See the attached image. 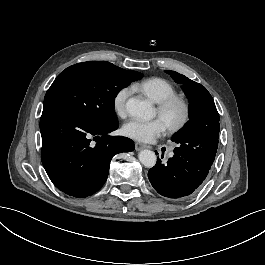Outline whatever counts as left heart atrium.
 <instances>
[{"label": "left heart atrium", "mask_w": 265, "mask_h": 265, "mask_svg": "<svg viewBox=\"0 0 265 265\" xmlns=\"http://www.w3.org/2000/svg\"><path fill=\"white\" fill-rule=\"evenodd\" d=\"M165 131V124L161 119L143 121L132 119L123 127V133L136 141L150 142L159 137Z\"/></svg>", "instance_id": "39dd6f15"}]
</instances>
